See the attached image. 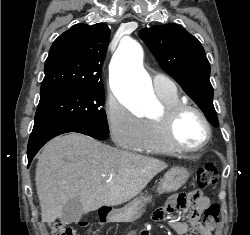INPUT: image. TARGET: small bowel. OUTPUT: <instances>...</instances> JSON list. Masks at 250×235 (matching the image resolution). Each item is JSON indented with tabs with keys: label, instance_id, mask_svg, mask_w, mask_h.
<instances>
[{
	"label": "small bowel",
	"instance_id": "obj_1",
	"mask_svg": "<svg viewBox=\"0 0 250 235\" xmlns=\"http://www.w3.org/2000/svg\"><path fill=\"white\" fill-rule=\"evenodd\" d=\"M209 203V198L201 194L198 201L191 205L178 197H172L163 207L154 212L153 220L161 221L166 215L171 214L175 210H180L187 214L189 221L172 222V226L178 234L190 235V232H194L195 235H213L215 225L202 224L198 221V216L208 207Z\"/></svg>",
	"mask_w": 250,
	"mask_h": 235
}]
</instances>
